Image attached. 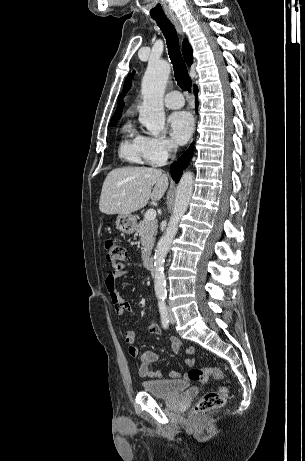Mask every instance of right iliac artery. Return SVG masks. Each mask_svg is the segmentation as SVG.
<instances>
[{
  "instance_id": "1",
  "label": "right iliac artery",
  "mask_w": 305,
  "mask_h": 461,
  "mask_svg": "<svg viewBox=\"0 0 305 461\" xmlns=\"http://www.w3.org/2000/svg\"><path fill=\"white\" fill-rule=\"evenodd\" d=\"M158 305H159L162 325L165 329H167L169 326V316H168L167 306L165 303V297H159Z\"/></svg>"
}]
</instances>
